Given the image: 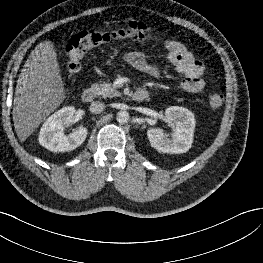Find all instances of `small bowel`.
<instances>
[{
  "label": "small bowel",
  "mask_w": 263,
  "mask_h": 263,
  "mask_svg": "<svg viewBox=\"0 0 263 263\" xmlns=\"http://www.w3.org/2000/svg\"><path fill=\"white\" fill-rule=\"evenodd\" d=\"M164 47L167 50L166 61L173 65L176 71L183 77L182 88L189 93H199L205 87L202 78L203 63L196 60L186 46L176 40H166ZM124 60L133 68L152 77H158L160 68L151 63L147 57L137 51L127 52Z\"/></svg>",
  "instance_id": "c3829d8e"
}]
</instances>
